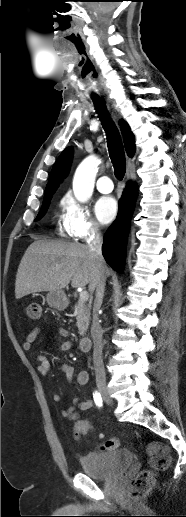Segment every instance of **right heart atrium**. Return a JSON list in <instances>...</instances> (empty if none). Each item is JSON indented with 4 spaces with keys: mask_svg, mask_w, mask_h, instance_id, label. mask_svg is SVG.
<instances>
[{
    "mask_svg": "<svg viewBox=\"0 0 186 517\" xmlns=\"http://www.w3.org/2000/svg\"><path fill=\"white\" fill-rule=\"evenodd\" d=\"M63 229L76 240L87 241L99 236L101 230L89 209L72 195H65L60 201Z\"/></svg>",
    "mask_w": 186,
    "mask_h": 517,
    "instance_id": "1",
    "label": "right heart atrium"
}]
</instances>
